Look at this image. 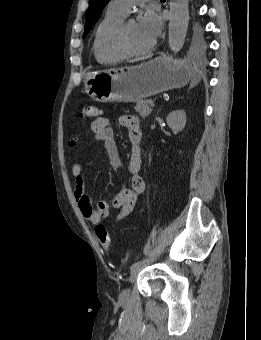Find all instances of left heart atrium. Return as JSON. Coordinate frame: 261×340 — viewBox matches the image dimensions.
I'll return each mask as SVG.
<instances>
[{
  "mask_svg": "<svg viewBox=\"0 0 261 340\" xmlns=\"http://www.w3.org/2000/svg\"><path fill=\"white\" fill-rule=\"evenodd\" d=\"M141 31L154 41L161 32L162 20L153 10L148 9L138 21Z\"/></svg>",
  "mask_w": 261,
  "mask_h": 340,
  "instance_id": "left-heart-atrium-1",
  "label": "left heart atrium"
}]
</instances>
